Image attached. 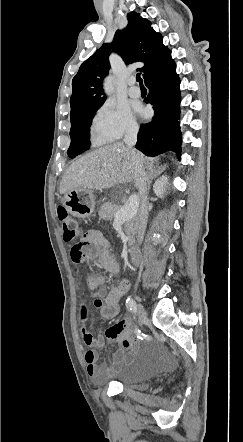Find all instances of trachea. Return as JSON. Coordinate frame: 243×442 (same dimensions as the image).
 I'll return each instance as SVG.
<instances>
[{"label": "trachea", "instance_id": "trachea-1", "mask_svg": "<svg viewBox=\"0 0 243 442\" xmlns=\"http://www.w3.org/2000/svg\"><path fill=\"white\" fill-rule=\"evenodd\" d=\"M136 81L137 82H139L140 83V85H142L143 83H142V79H141V76H140V73H138L137 75H136Z\"/></svg>", "mask_w": 243, "mask_h": 442}]
</instances>
